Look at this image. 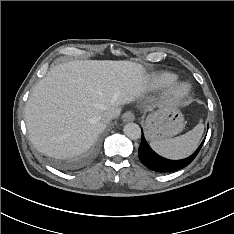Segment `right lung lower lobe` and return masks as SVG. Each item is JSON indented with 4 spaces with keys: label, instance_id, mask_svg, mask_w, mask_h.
<instances>
[{
    "label": "right lung lower lobe",
    "instance_id": "1",
    "mask_svg": "<svg viewBox=\"0 0 234 234\" xmlns=\"http://www.w3.org/2000/svg\"><path fill=\"white\" fill-rule=\"evenodd\" d=\"M58 166L64 169H70L74 165L72 163L62 162V163H58Z\"/></svg>",
    "mask_w": 234,
    "mask_h": 234
}]
</instances>
